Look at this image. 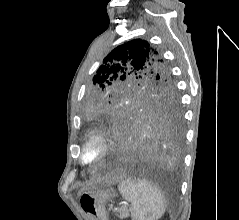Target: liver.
Wrapping results in <instances>:
<instances>
[{"label":"liver","mask_w":239,"mask_h":220,"mask_svg":"<svg viewBox=\"0 0 239 220\" xmlns=\"http://www.w3.org/2000/svg\"><path fill=\"white\" fill-rule=\"evenodd\" d=\"M122 178H123V173L121 171H117V172L112 173L111 175H108L102 179H99L97 182H99V183L104 182L108 185H111V184H114V183L120 181ZM87 189H88V187L82 188L80 193Z\"/></svg>","instance_id":"1"}]
</instances>
